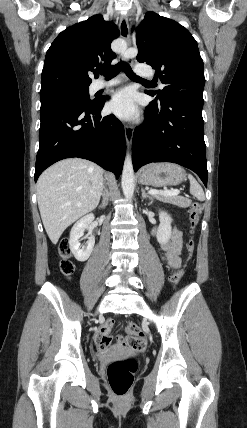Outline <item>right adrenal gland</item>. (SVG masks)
Returning <instances> with one entry per match:
<instances>
[{"label":"right adrenal gland","instance_id":"1","mask_svg":"<svg viewBox=\"0 0 247 428\" xmlns=\"http://www.w3.org/2000/svg\"><path fill=\"white\" fill-rule=\"evenodd\" d=\"M108 195H109V193H108V191L106 192V197L103 199V201H102V203H101V205H100V207L101 208H104L106 205H107V202H108Z\"/></svg>","mask_w":247,"mask_h":428}]
</instances>
